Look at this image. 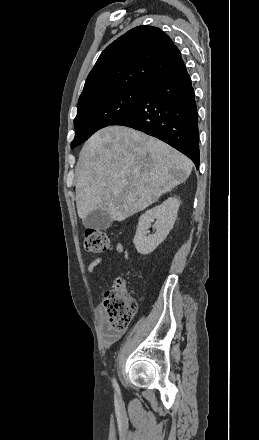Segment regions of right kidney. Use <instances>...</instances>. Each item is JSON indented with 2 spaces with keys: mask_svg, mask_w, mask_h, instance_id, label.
Here are the masks:
<instances>
[{
  "mask_svg": "<svg viewBox=\"0 0 259 440\" xmlns=\"http://www.w3.org/2000/svg\"><path fill=\"white\" fill-rule=\"evenodd\" d=\"M179 206V199L171 197L141 215L133 239L138 253L141 255L150 254L165 240L176 221ZM152 222H154L153 228L156 229V232L148 235Z\"/></svg>",
  "mask_w": 259,
  "mask_h": 440,
  "instance_id": "right-kidney-1",
  "label": "right kidney"
}]
</instances>
